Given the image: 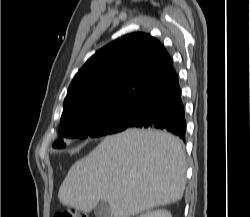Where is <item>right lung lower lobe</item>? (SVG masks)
Segmentation results:
<instances>
[{"instance_id": "1", "label": "right lung lower lobe", "mask_w": 250, "mask_h": 217, "mask_svg": "<svg viewBox=\"0 0 250 217\" xmlns=\"http://www.w3.org/2000/svg\"><path fill=\"white\" fill-rule=\"evenodd\" d=\"M127 128L164 129L185 141V112L176 73L138 98Z\"/></svg>"}]
</instances>
